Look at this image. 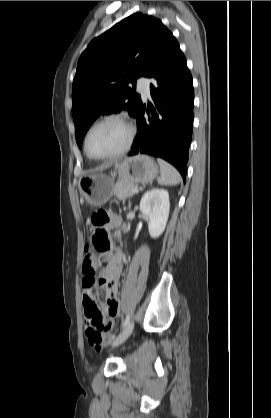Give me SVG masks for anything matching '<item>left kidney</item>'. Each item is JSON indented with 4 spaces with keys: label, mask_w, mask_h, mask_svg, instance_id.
I'll return each mask as SVG.
<instances>
[{
    "label": "left kidney",
    "mask_w": 271,
    "mask_h": 418,
    "mask_svg": "<svg viewBox=\"0 0 271 418\" xmlns=\"http://www.w3.org/2000/svg\"><path fill=\"white\" fill-rule=\"evenodd\" d=\"M169 193L165 189L147 191L140 201V211L149 218L148 230L152 238L159 237L165 230L169 217Z\"/></svg>",
    "instance_id": "left-kidney-1"
}]
</instances>
